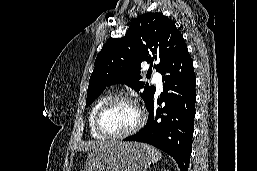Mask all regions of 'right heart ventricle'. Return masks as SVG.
Returning <instances> with one entry per match:
<instances>
[{
	"instance_id": "e07e8e85",
	"label": "right heart ventricle",
	"mask_w": 257,
	"mask_h": 171,
	"mask_svg": "<svg viewBox=\"0 0 257 171\" xmlns=\"http://www.w3.org/2000/svg\"><path fill=\"white\" fill-rule=\"evenodd\" d=\"M112 96L110 94L107 95H103L101 96L92 106L89 116H88V124H89V130H90V134L93 138L95 139H105L104 136H102L101 134H99L94 126V120H95V116L96 113L98 111V109L100 108V106L107 101L108 99H110Z\"/></svg>"
}]
</instances>
